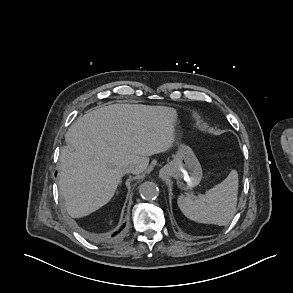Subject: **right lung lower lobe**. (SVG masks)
I'll use <instances>...</instances> for the list:
<instances>
[{
    "label": "right lung lower lobe",
    "mask_w": 293,
    "mask_h": 293,
    "mask_svg": "<svg viewBox=\"0 0 293 293\" xmlns=\"http://www.w3.org/2000/svg\"><path fill=\"white\" fill-rule=\"evenodd\" d=\"M125 225L126 224H124L123 226H121V228L118 231L114 232L113 235H112V237L115 236V235H117L121 230H123V228L125 227Z\"/></svg>",
    "instance_id": "98d812e1"
}]
</instances>
